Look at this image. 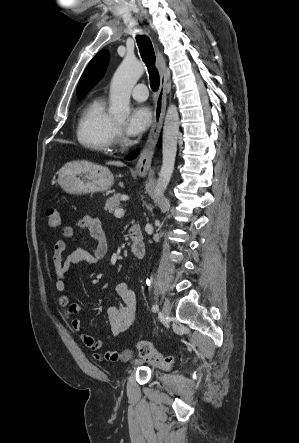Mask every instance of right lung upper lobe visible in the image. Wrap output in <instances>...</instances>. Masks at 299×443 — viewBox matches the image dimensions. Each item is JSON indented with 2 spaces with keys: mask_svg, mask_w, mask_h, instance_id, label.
Instances as JSON below:
<instances>
[{
  "mask_svg": "<svg viewBox=\"0 0 299 443\" xmlns=\"http://www.w3.org/2000/svg\"><path fill=\"white\" fill-rule=\"evenodd\" d=\"M109 61L107 50L99 52L88 64L77 87V96L82 99L104 75Z\"/></svg>",
  "mask_w": 299,
  "mask_h": 443,
  "instance_id": "cb5924a9",
  "label": "right lung upper lobe"
}]
</instances>
